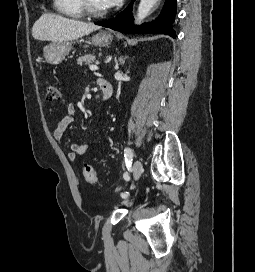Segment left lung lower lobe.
<instances>
[{
	"mask_svg": "<svg viewBox=\"0 0 255 272\" xmlns=\"http://www.w3.org/2000/svg\"><path fill=\"white\" fill-rule=\"evenodd\" d=\"M131 10V5H129L115 18L107 21L95 22V24L124 33H156L166 34L173 38L176 37L175 31L171 28V24L174 22L176 14V0H166L159 18L154 22L139 27L133 26Z\"/></svg>",
	"mask_w": 255,
	"mask_h": 272,
	"instance_id": "obj_1",
	"label": "left lung lower lobe"
}]
</instances>
